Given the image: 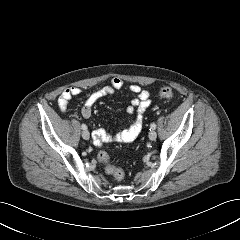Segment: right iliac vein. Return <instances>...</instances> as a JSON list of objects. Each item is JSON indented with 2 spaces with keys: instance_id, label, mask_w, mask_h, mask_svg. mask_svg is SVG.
Listing matches in <instances>:
<instances>
[{
  "instance_id": "63e3f726",
  "label": "right iliac vein",
  "mask_w": 240,
  "mask_h": 240,
  "mask_svg": "<svg viewBox=\"0 0 240 240\" xmlns=\"http://www.w3.org/2000/svg\"><path fill=\"white\" fill-rule=\"evenodd\" d=\"M82 137H83V139L88 140V139L90 138V133H89V131H88V130H84V131L82 132Z\"/></svg>"
}]
</instances>
